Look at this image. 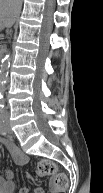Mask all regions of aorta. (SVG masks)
<instances>
[{
	"label": "aorta",
	"instance_id": "aorta-1",
	"mask_svg": "<svg viewBox=\"0 0 103 193\" xmlns=\"http://www.w3.org/2000/svg\"><path fill=\"white\" fill-rule=\"evenodd\" d=\"M10 54L6 53V55L2 58L0 64V80L2 85V90H4L5 83L8 77V69L10 65Z\"/></svg>",
	"mask_w": 103,
	"mask_h": 193
}]
</instances>
